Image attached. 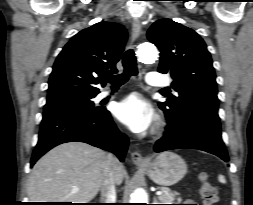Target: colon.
Returning a JSON list of instances; mask_svg holds the SVG:
<instances>
[{"label":"colon","mask_w":253,"mask_h":205,"mask_svg":"<svg viewBox=\"0 0 253 205\" xmlns=\"http://www.w3.org/2000/svg\"><path fill=\"white\" fill-rule=\"evenodd\" d=\"M199 194L204 205H214L218 201V191L205 173L200 175Z\"/></svg>","instance_id":"1"}]
</instances>
